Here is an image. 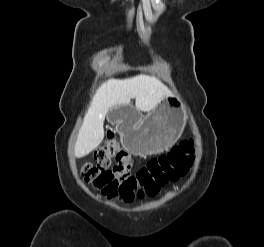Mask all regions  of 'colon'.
<instances>
[{
    "instance_id": "1",
    "label": "colon",
    "mask_w": 264,
    "mask_h": 247,
    "mask_svg": "<svg viewBox=\"0 0 264 247\" xmlns=\"http://www.w3.org/2000/svg\"><path fill=\"white\" fill-rule=\"evenodd\" d=\"M114 138V132L107 131V144L96 150L95 164L83 166L82 175L105 195L123 202L156 193L167 182L183 176L194 158V143L184 141L133 174L129 155L113 148ZM112 160L115 164L111 166Z\"/></svg>"
}]
</instances>
